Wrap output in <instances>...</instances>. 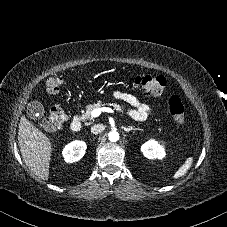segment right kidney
Wrapping results in <instances>:
<instances>
[{
	"label": "right kidney",
	"instance_id": "right-kidney-1",
	"mask_svg": "<svg viewBox=\"0 0 227 227\" xmlns=\"http://www.w3.org/2000/svg\"><path fill=\"white\" fill-rule=\"evenodd\" d=\"M86 143L83 141H73L65 146L62 151L64 160L67 163L79 161L85 154Z\"/></svg>",
	"mask_w": 227,
	"mask_h": 227
}]
</instances>
